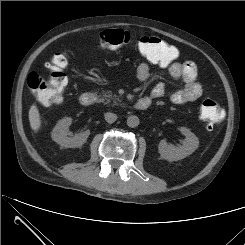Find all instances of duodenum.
<instances>
[{
	"label": "duodenum",
	"instance_id": "410a0bca",
	"mask_svg": "<svg viewBox=\"0 0 245 245\" xmlns=\"http://www.w3.org/2000/svg\"><path fill=\"white\" fill-rule=\"evenodd\" d=\"M97 100H98L97 95L92 92L82 93L79 98L80 104L85 107L92 106L97 102ZM150 104H151L150 98L148 97L140 98L139 100L136 101L135 108L137 110H145L150 106Z\"/></svg>",
	"mask_w": 245,
	"mask_h": 245
}]
</instances>
